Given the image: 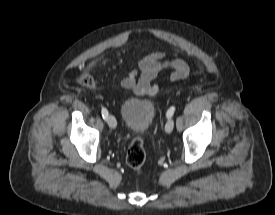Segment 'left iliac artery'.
<instances>
[{
    "label": "left iliac artery",
    "instance_id": "left-iliac-artery-1",
    "mask_svg": "<svg viewBox=\"0 0 275 215\" xmlns=\"http://www.w3.org/2000/svg\"><path fill=\"white\" fill-rule=\"evenodd\" d=\"M174 111H175V107H170L169 108V110L167 111V118H170V117H172L173 116V114H174Z\"/></svg>",
    "mask_w": 275,
    "mask_h": 215
}]
</instances>
